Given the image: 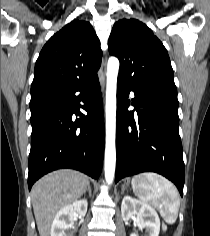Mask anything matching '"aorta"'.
<instances>
[{
	"mask_svg": "<svg viewBox=\"0 0 210 236\" xmlns=\"http://www.w3.org/2000/svg\"><path fill=\"white\" fill-rule=\"evenodd\" d=\"M119 60L110 57L107 65L106 84V145H105V179L111 184L116 167V90Z\"/></svg>",
	"mask_w": 210,
	"mask_h": 236,
	"instance_id": "aorta-1",
	"label": "aorta"
}]
</instances>
